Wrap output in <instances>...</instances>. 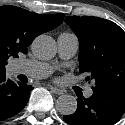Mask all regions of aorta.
<instances>
[{"mask_svg":"<svg viewBox=\"0 0 125 125\" xmlns=\"http://www.w3.org/2000/svg\"><path fill=\"white\" fill-rule=\"evenodd\" d=\"M33 54L41 60H49L56 55V44L52 37L38 36L31 46ZM56 108L63 115H71L77 109V100L74 96L64 94L56 100Z\"/></svg>","mask_w":125,"mask_h":125,"instance_id":"1","label":"aorta"}]
</instances>
